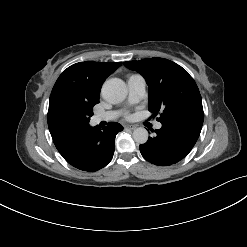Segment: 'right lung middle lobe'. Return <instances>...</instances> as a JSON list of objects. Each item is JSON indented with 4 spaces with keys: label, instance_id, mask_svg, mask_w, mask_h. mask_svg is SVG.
<instances>
[{
    "label": "right lung middle lobe",
    "instance_id": "obj_1",
    "mask_svg": "<svg viewBox=\"0 0 247 247\" xmlns=\"http://www.w3.org/2000/svg\"><path fill=\"white\" fill-rule=\"evenodd\" d=\"M95 104L80 100H60L48 114L50 133L67 136L81 132L93 116L92 108Z\"/></svg>",
    "mask_w": 247,
    "mask_h": 247
}]
</instances>
